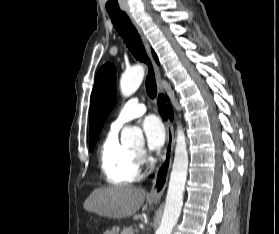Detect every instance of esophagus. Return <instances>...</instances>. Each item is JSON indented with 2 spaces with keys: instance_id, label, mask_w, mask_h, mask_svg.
I'll list each match as a JSON object with an SVG mask.
<instances>
[{
  "instance_id": "obj_1",
  "label": "esophagus",
  "mask_w": 279,
  "mask_h": 234,
  "mask_svg": "<svg viewBox=\"0 0 279 234\" xmlns=\"http://www.w3.org/2000/svg\"><path fill=\"white\" fill-rule=\"evenodd\" d=\"M126 13H127L128 17L130 18V20L132 21V23L134 24L135 28L137 29V31L142 39V42L145 46V49L147 51V54L149 55V57L152 60L154 70H155V76L157 79L158 92L162 93L163 89H162V85H161L160 69L152 58L150 45H149L141 27L135 22L131 13L128 10L126 11ZM173 148H174L173 125L170 120H167L166 121V146H165V150H164V153L162 156V161L160 163V166L157 169L155 179H154L151 191L149 193V197L152 199H160L167 186L168 176H169V172H170L171 165H172Z\"/></svg>"
}]
</instances>
